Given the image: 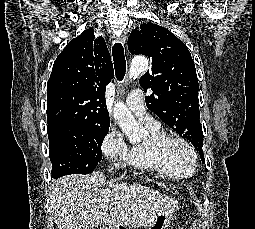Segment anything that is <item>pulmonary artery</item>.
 Segmentation results:
<instances>
[{
	"label": "pulmonary artery",
	"mask_w": 255,
	"mask_h": 229,
	"mask_svg": "<svg viewBox=\"0 0 255 229\" xmlns=\"http://www.w3.org/2000/svg\"><path fill=\"white\" fill-rule=\"evenodd\" d=\"M126 105L145 126L160 127V124L156 120L146 114L143 92L140 89L130 91L126 99Z\"/></svg>",
	"instance_id": "pulmonary-artery-1"
}]
</instances>
